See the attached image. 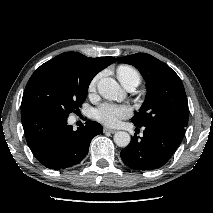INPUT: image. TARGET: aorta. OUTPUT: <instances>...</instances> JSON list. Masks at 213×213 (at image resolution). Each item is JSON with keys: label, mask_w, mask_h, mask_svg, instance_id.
Wrapping results in <instances>:
<instances>
[{"label": "aorta", "mask_w": 213, "mask_h": 213, "mask_svg": "<svg viewBox=\"0 0 213 213\" xmlns=\"http://www.w3.org/2000/svg\"><path fill=\"white\" fill-rule=\"evenodd\" d=\"M100 95L108 100H117L122 97L123 92L116 80L110 77L102 78L97 83ZM131 141L130 135L125 131H118L114 135V142L119 147H126Z\"/></svg>", "instance_id": "aorta-1"}]
</instances>
